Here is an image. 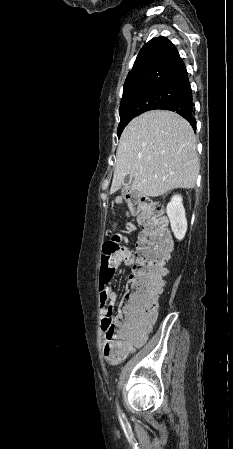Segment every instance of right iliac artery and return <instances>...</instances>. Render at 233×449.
Returning a JSON list of instances; mask_svg holds the SVG:
<instances>
[{
  "label": "right iliac artery",
  "instance_id": "obj_1",
  "mask_svg": "<svg viewBox=\"0 0 233 449\" xmlns=\"http://www.w3.org/2000/svg\"><path fill=\"white\" fill-rule=\"evenodd\" d=\"M117 408H118V411H120V409H119L118 405H117Z\"/></svg>",
  "mask_w": 233,
  "mask_h": 449
}]
</instances>
